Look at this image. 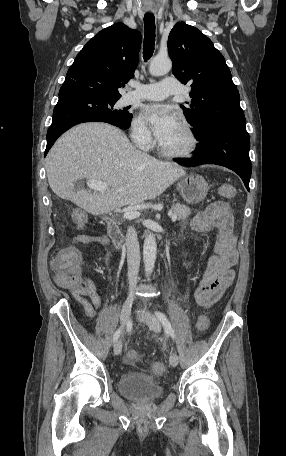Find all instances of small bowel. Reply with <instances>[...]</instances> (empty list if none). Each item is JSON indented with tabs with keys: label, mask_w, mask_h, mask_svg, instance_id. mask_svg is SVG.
I'll return each instance as SVG.
<instances>
[{
	"label": "small bowel",
	"mask_w": 286,
	"mask_h": 456,
	"mask_svg": "<svg viewBox=\"0 0 286 456\" xmlns=\"http://www.w3.org/2000/svg\"><path fill=\"white\" fill-rule=\"evenodd\" d=\"M234 215L224 202H214L197 214L191 227L198 233L212 228L219 229V238L215 245V255L202 264L198 284L194 295L199 307L210 308L223 295L235 278L234 266L238 262L236 238L234 234ZM80 245L99 244L107 246L106 237L81 234L74 238ZM73 297L82 305L87 317L94 318L102 307V300L92 280H87L78 291H72Z\"/></svg>",
	"instance_id": "c3829d8e"
}]
</instances>
